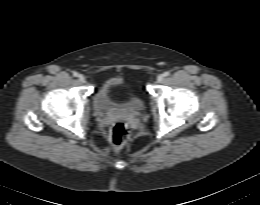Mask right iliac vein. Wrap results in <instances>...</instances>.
Instances as JSON below:
<instances>
[{
    "instance_id": "right-iliac-vein-1",
    "label": "right iliac vein",
    "mask_w": 260,
    "mask_h": 205,
    "mask_svg": "<svg viewBox=\"0 0 260 205\" xmlns=\"http://www.w3.org/2000/svg\"><path fill=\"white\" fill-rule=\"evenodd\" d=\"M78 80H79L81 83H84V82H85V76L82 75V74H80V75L78 76Z\"/></svg>"
}]
</instances>
